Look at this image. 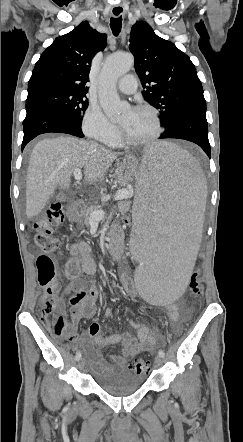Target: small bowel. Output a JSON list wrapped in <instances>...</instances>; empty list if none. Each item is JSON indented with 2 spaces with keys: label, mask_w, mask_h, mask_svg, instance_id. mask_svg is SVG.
<instances>
[{
  "label": "small bowel",
  "mask_w": 243,
  "mask_h": 442,
  "mask_svg": "<svg viewBox=\"0 0 243 442\" xmlns=\"http://www.w3.org/2000/svg\"><path fill=\"white\" fill-rule=\"evenodd\" d=\"M97 264L92 256L91 248L86 242H77L70 247V258L65 266V276L68 280L63 295L56 298V313H64L65 295L75 292L69 298L71 318L68 322L69 340L85 347L88 360L95 366L103 363H111L119 369H125L130 358L144 351H152L158 343V333L149 326L137 321L129 320L128 325L137 330V336L129 332H119L104 337L101 334V326L94 320L90 324L87 333L78 337L76 330L81 319L94 318L97 311L99 291L91 282L82 278V274L93 276L96 273ZM121 282L131 296H136L134 286L127 275H121ZM168 315L173 323L174 330L178 331L177 322L180 312L175 305L167 307ZM120 344L119 355L104 358L97 349L100 347Z\"/></svg>",
  "instance_id": "small-bowel-1"
}]
</instances>
